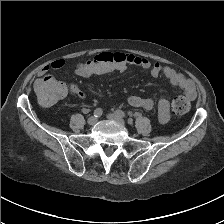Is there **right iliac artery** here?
<instances>
[{
    "label": "right iliac artery",
    "instance_id": "1",
    "mask_svg": "<svg viewBox=\"0 0 224 224\" xmlns=\"http://www.w3.org/2000/svg\"><path fill=\"white\" fill-rule=\"evenodd\" d=\"M103 111L101 108H97L94 110V117L98 118L102 115Z\"/></svg>",
    "mask_w": 224,
    "mask_h": 224
}]
</instances>
